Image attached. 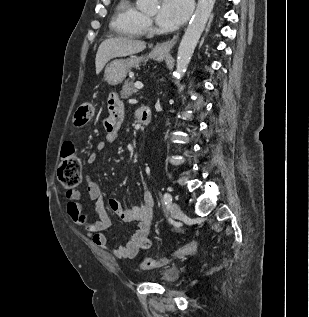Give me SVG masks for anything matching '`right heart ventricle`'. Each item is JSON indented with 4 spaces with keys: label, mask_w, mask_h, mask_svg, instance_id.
Segmentation results:
<instances>
[{
    "label": "right heart ventricle",
    "mask_w": 309,
    "mask_h": 317,
    "mask_svg": "<svg viewBox=\"0 0 309 317\" xmlns=\"http://www.w3.org/2000/svg\"><path fill=\"white\" fill-rule=\"evenodd\" d=\"M144 14L132 0H120L112 26L115 32L121 36L138 38L143 32Z\"/></svg>",
    "instance_id": "1"
}]
</instances>
